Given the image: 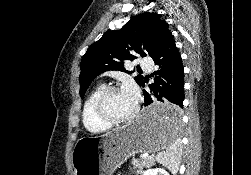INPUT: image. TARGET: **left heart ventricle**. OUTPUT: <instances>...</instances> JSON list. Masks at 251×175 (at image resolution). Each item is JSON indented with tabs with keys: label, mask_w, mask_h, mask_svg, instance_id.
Returning <instances> with one entry per match:
<instances>
[{
	"label": "left heart ventricle",
	"mask_w": 251,
	"mask_h": 175,
	"mask_svg": "<svg viewBox=\"0 0 251 175\" xmlns=\"http://www.w3.org/2000/svg\"><path fill=\"white\" fill-rule=\"evenodd\" d=\"M106 110L113 117H123L132 113L134 108L125 100L121 90H117L107 98Z\"/></svg>",
	"instance_id": "obj_1"
}]
</instances>
